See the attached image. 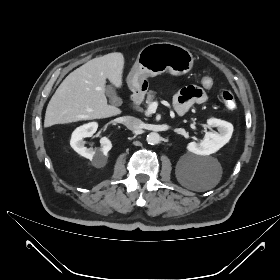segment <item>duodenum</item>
<instances>
[{"label":"duodenum","instance_id":"duodenum-1","mask_svg":"<svg viewBox=\"0 0 280 280\" xmlns=\"http://www.w3.org/2000/svg\"><path fill=\"white\" fill-rule=\"evenodd\" d=\"M144 94H145V89L141 86L140 83H138L135 87H134V90H133V93H132V104L134 106H138L143 97H144Z\"/></svg>","mask_w":280,"mask_h":280}]
</instances>
